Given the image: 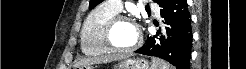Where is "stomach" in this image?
<instances>
[{"instance_id": "stomach-1", "label": "stomach", "mask_w": 246, "mask_h": 69, "mask_svg": "<svg viewBox=\"0 0 246 69\" xmlns=\"http://www.w3.org/2000/svg\"><path fill=\"white\" fill-rule=\"evenodd\" d=\"M77 69H95L93 65L78 67ZM115 69H150L148 62L143 58L131 59L126 58L118 64Z\"/></svg>"}]
</instances>
